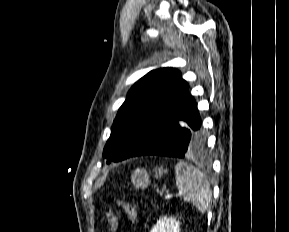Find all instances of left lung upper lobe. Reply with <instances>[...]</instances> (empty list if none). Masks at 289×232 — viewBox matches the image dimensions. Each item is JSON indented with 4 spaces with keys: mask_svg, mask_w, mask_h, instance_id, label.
<instances>
[{
    "mask_svg": "<svg viewBox=\"0 0 289 232\" xmlns=\"http://www.w3.org/2000/svg\"><path fill=\"white\" fill-rule=\"evenodd\" d=\"M188 88L176 69L147 73L132 86L120 107L103 156L116 162L135 153L172 120L189 96Z\"/></svg>",
    "mask_w": 289,
    "mask_h": 232,
    "instance_id": "left-lung-upper-lobe-1",
    "label": "left lung upper lobe"
}]
</instances>
